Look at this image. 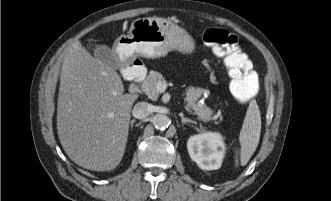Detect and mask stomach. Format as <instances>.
Segmentation results:
<instances>
[{
    "label": "stomach",
    "mask_w": 331,
    "mask_h": 201,
    "mask_svg": "<svg viewBox=\"0 0 331 201\" xmlns=\"http://www.w3.org/2000/svg\"><path fill=\"white\" fill-rule=\"evenodd\" d=\"M115 49L122 60L127 61L136 56L159 58L174 50L192 53L195 42L184 29L168 19L144 17L134 20L129 33L116 39Z\"/></svg>",
    "instance_id": "stomach-1"
}]
</instances>
